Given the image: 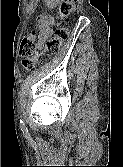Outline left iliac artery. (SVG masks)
I'll return each mask as SVG.
<instances>
[{
  "label": "left iliac artery",
  "instance_id": "1",
  "mask_svg": "<svg viewBox=\"0 0 123 167\" xmlns=\"http://www.w3.org/2000/svg\"><path fill=\"white\" fill-rule=\"evenodd\" d=\"M20 126H21V128H25V125H24V122L22 119H20Z\"/></svg>",
  "mask_w": 123,
  "mask_h": 167
}]
</instances>
